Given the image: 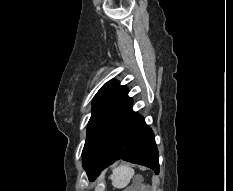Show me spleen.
I'll use <instances>...</instances> for the list:
<instances>
[{
	"label": "spleen",
	"instance_id": "1",
	"mask_svg": "<svg viewBox=\"0 0 233 191\" xmlns=\"http://www.w3.org/2000/svg\"><path fill=\"white\" fill-rule=\"evenodd\" d=\"M133 174V169L129 168L128 166H118L113 170V173L110 176V179L112 180V185L115 188H125L129 184Z\"/></svg>",
	"mask_w": 233,
	"mask_h": 191
}]
</instances>
